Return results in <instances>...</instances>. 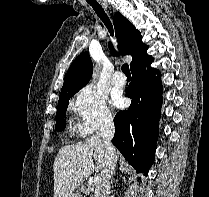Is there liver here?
Masks as SVG:
<instances>
[{
	"label": "liver",
	"instance_id": "6515ba94",
	"mask_svg": "<svg viewBox=\"0 0 209 197\" xmlns=\"http://www.w3.org/2000/svg\"><path fill=\"white\" fill-rule=\"evenodd\" d=\"M105 154L104 143L97 135L62 147L53 164L54 197H68L94 171H102L106 164Z\"/></svg>",
	"mask_w": 209,
	"mask_h": 197
}]
</instances>
